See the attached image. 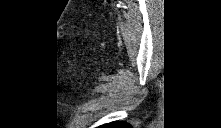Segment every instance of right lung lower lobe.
Wrapping results in <instances>:
<instances>
[{"label":"right lung lower lobe","instance_id":"1","mask_svg":"<svg viewBox=\"0 0 221 128\" xmlns=\"http://www.w3.org/2000/svg\"><path fill=\"white\" fill-rule=\"evenodd\" d=\"M130 126L124 122H112L100 126V128H129Z\"/></svg>","mask_w":221,"mask_h":128}]
</instances>
